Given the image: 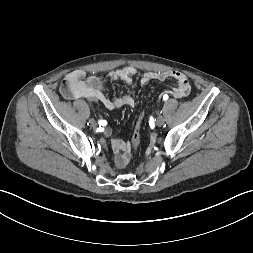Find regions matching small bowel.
Masks as SVG:
<instances>
[{"label":"small bowel","mask_w":253,"mask_h":253,"mask_svg":"<svg viewBox=\"0 0 253 253\" xmlns=\"http://www.w3.org/2000/svg\"><path fill=\"white\" fill-rule=\"evenodd\" d=\"M137 75V70L132 66H125L112 70L109 77L113 81L121 80L126 84H132L133 78ZM174 80V87L168 92L175 98H183L190 92V82L187 76L176 70L153 71L144 73L140 78V83L146 85L152 81ZM103 81L96 76H87L82 70H75L67 74L61 86V93L67 99L86 98L95 102H100L108 110H116L121 107H134L135 100L130 94H123L116 98H109L103 92ZM106 137L110 139V145L115 151V166L124 168L129 161L130 144L124 140L111 137L109 129L104 130Z\"/></svg>","instance_id":"obj_1"}]
</instances>
